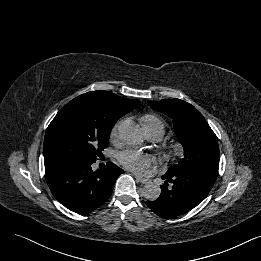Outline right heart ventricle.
<instances>
[{
	"label": "right heart ventricle",
	"instance_id": "e07e8e85",
	"mask_svg": "<svg viewBox=\"0 0 261 261\" xmlns=\"http://www.w3.org/2000/svg\"><path fill=\"white\" fill-rule=\"evenodd\" d=\"M141 124L146 136L152 132H158L161 136L164 134L165 125L163 121L155 115H144L141 117Z\"/></svg>",
	"mask_w": 261,
	"mask_h": 261
}]
</instances>
